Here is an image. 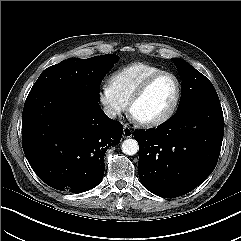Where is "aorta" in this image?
I'll return each instance as SVG.
<instances>
[{"label":"aorta","instance_id":"1","mask_svg":"<svg viewBox=\"0 0 241 241\" xmlns=\"http://www.w3.org/2000/svg\"><path fill=\"white\" fill-rule=\"evenodd\" d=\"M121 149L124 154L132 156L138 152L139 145L134 139H126L123 141Z\"/></svg>","mask_w":241,"mask_h":241}]
</instances>
